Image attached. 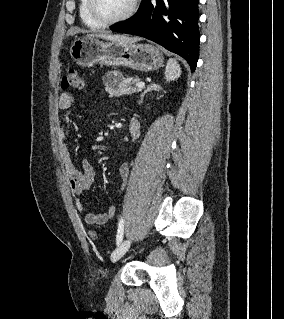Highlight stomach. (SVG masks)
Here are the masks:
<instances>
[{
  "instance_id": "0dacf381",
  "label": "stomach",
  "mask_w": 284,
  "mask_h": 319,
  "mask_svg": "<svg viewBox=\"0 0 284 319\" xmlns=\"http://www.w3.org/2000/svg\"><path fill=\"white\" fill-rule=\"evenodd\" d=\"M71 58L80 66L102 65L126 66L149 72L162 67L163 54L150 44L101 41L97 37L77 38L70 47Z\"/></svg>"
}]
</instances>
